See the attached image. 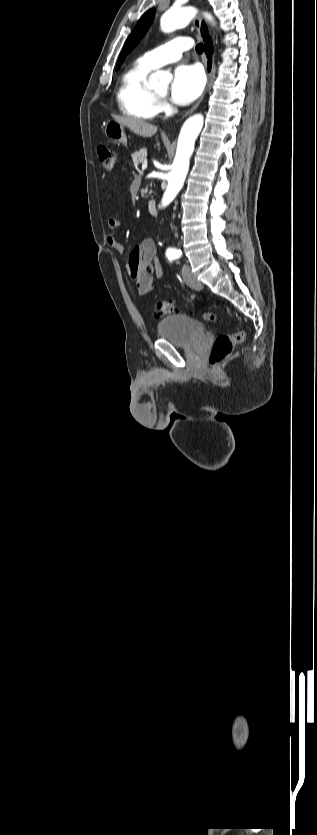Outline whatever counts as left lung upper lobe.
<instances>
[{
  "label": "left lung upper lobe",
  "instance_id": "1",
  "mask_svg": "<svg viewBox=\"0 0 317 835\" xmlns=\"http://www.w3.org/2000/svg\"><path fill=\"white\" fill-rule=\"evenodd\" d=\"M154 14H155V10L150 9L139 19L136 27L134 28V30L132 31V33L128 37V39H127V41H126V43L123 47V50L121 51L116 70L119 69V67H120L121 63L123 62V60L125 59L126 55L129 52H131V50L140 42L142 37L145 35V33L147 32V30L149 29V27H150V25L153 21Z\"/></svg>",
  "mask_w": 317,
  "mask_h": 835
}]
</instances>
